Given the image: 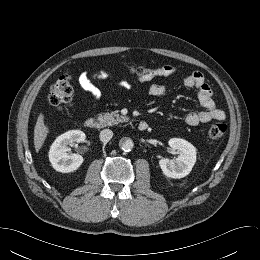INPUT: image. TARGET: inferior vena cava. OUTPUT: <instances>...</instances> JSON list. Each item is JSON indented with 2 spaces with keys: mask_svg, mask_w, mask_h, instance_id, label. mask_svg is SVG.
<instances>
[{
  "mask_svg": "<svg viewBox=\"0 0 260 260\" xmlns=\"http://www.w3.org/2000/svg\"><path fill=\"white\" fill-rule=\"evenodd\" d=\"M100 140L107 143L113 137V132L110 129H104L100 132Z\"/></svg>",
  "mask_w": 260,
  "mask_h": 260,
  "instance_id": "602c4592",
  "label": "inferior vena cava"
}]
</instances>
